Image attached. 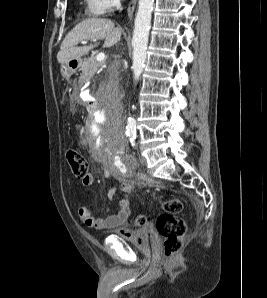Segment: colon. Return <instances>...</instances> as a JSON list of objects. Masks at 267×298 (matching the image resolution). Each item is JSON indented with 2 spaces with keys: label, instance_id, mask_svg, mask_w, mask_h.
Returning a JSON list of instances; mask_svg holds the SVG:
<instances>
[{
  "label": "colon",
  "instance_id": "5ec220e1",
  "mask_svg": "<svg viewBox=\"0 0 267 298\" xmlns=\"http://www.w3.org/2000/svg\"><path fill=\"white\" fill-rule=\"evenodd\" d=\"M66 160L73 174L81 181L89 177L88 163L85 157L76 149L70 148L66 151ZM163 213L159 215L156 226L159 234L163 237V249L166 257L177 254L182 246L186 232V223L179 216L183 209L182 202L177 199H169L161 206ZM147 219L143 215L134 218L135 226H142Z\"/></svg>",
  "mask_w": 267,
  "mask_h": 298
}]
</instances>
